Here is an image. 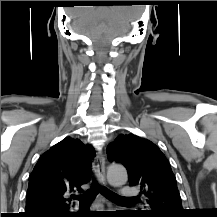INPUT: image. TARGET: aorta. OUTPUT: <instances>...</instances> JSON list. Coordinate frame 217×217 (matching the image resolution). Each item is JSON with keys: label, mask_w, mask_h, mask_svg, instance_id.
<instances>
[{"label": "aorta", "mask_w": 217, "mask_h": 217, "mask_svg": "<svg viewBox=\"0 0 217 217\" xmlns=\"http://www.w3.org/2000/svg\"><path fill=\"white\" fill-rule=\"evenodd\" d=\"M108 182L113 186H120L127 182V171L122 165L112 164L107 171Z\"/></svg>", "instance_id": "762f6f07"}]
</instances>
